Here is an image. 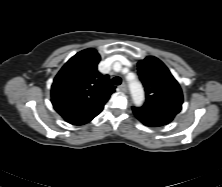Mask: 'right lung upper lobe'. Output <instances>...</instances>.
<instances>
[{
	"mask_svg": "<svg viewBox=\"0 0 222 187\" xmlns=\"http://www.w3.org/2000/svg\"><path fill=\"white\" fill-rule=\"evenodd\" d=\"M99 61L95 49H85L73 56L53 81L54 109L71 124L92 120L115 91L109 76L97 70Z\"/></svg>",
	"mask_w": 222,
	"mask_h": 187,
	"instance_id": "1",
	"label": "right lung upper lobe"
}]
</instances>
